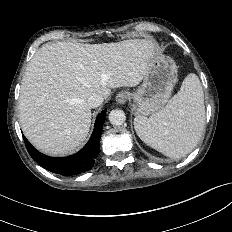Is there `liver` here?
I'll return each mask as SVG.
<instances>
[{
	"mask_svg": "<svg viewBox=\"0 0 232 232\" xmlns=\"http://www.w3.org/2000/svg\"><path fill=\"white\" fill-rule=\"evenodd\" d=\"M154 48L149 39L43 45L29 62L20 89L19 117L25 136L49 155L74 151L90 130L87 99L93 93L107 97L111 89L137 86Z\"/></svg>",
	"mask_w": 232,
	"mask_h": 232,
	"instance_id": "6515ba94",
	"label": "liver"
}]
</instances>
